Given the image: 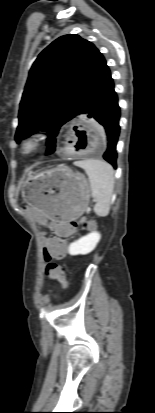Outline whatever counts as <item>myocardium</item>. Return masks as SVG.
I'll return each instance as SVG.
<instances>
[{"mask_svg": "<svg viewBox=\"0 0 155 413\" xmlns=\"http://www.w3.org/2000/svg\"><path fill=\"white\" fill-rule=\"evenodd\" d=\"M46 139V133L37 130L26 136L20 145V152L24 156H30L36 153L43 145Z\"/></svg>", "mask_w": 155, "mask_h": 413, "instance_id": "myocardium-1", "label": "myocardium"}]
</instances>
